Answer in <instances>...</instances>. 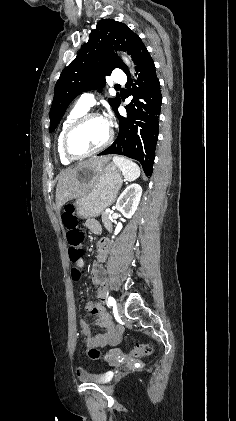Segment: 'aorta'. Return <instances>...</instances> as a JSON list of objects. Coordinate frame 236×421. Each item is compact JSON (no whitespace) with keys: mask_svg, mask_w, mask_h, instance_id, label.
<instances>
[{"mask_svg":"<svg viewBox=\"0 0 236 421\" xmlns=\"http://www.w3.org/2000/svg\"><path fill=\"white\" fill-rule=\"evenodd\" d=\"M125 62H127V64H130L128 58H124Z\"/></svg>","mask_w":236,"mask_h":421,"instance_id":"1","label":"aorta"}]
</instances>
